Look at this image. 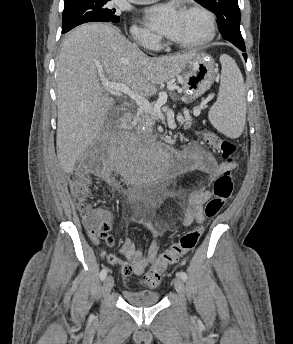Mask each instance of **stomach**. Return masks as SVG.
I'll use <instances>...</instances> for the list:
<instances>
[{"label":"stomach","mask_w":293,"mask_h":344,"mask_svg":"<svg viewBox=\"0 0 293 344\" xmlns=\"http://www.w3.org/2000/svg\"><path fill=\"white\" fill-rule=\"evenodd\" d=\"M214 60L203 52H198L176 76L189 100L203 95L213 84L216 76Z\"/></svg>","instance_id":"stomach-1"}]
</instances>
